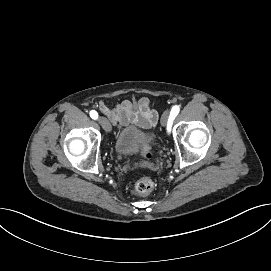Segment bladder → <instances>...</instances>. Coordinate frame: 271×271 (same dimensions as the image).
Wrapping results in <instances>:
<instances>
[{
	"mask_svg": "<svg viewBox=\"0 0 271 271\" xmlns=\"http://www.w3.org/2000/svg\"><path fill=\"white\" fill-rule=\"evenodd\" d=\"M149 138L150 136L137 125L125 126L116 137V151L121 156H131L148 150Z\"/></svg>",
	"mask_w": 271,
	"mask_h": 271,
	"instance_id": "1",
	"label": "bladder"
}]
</instances>
